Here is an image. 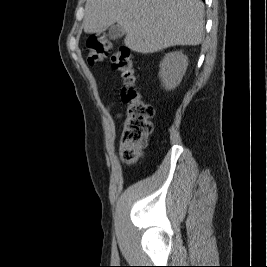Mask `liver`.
I'll use <instances>...</instances> for the list:
<instances>
[{
	"instance_id": "liver-1",
	"label": "liver",
	"mask_w": 267,
	"mask_h": 267,
	"mask_svg": "<svg viewBox=\"0 0 267 267\" xmlns=\"http://www.w3.org/2000/svg\"><path fill=\"white\" fill-rule=\"evenodd\" d=\"M114 23L124 29V44L138 53L196 46L204 38V4L200 0L86 1L85 33H101Z\"/></svg>"
}]
</instances>
